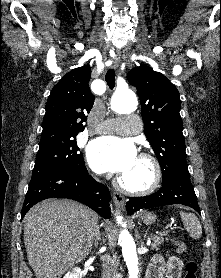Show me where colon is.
Instances as JSON below:
<instances>
[{"label": "colon", "instance_id": "obj_1", "mask_svg": "<svg viewBox=\"0 0 221 278\" xmlns=\"http://www.w3.org/2000/svg\"><path fill=\"white\" fill-rule=\"evenodd\" d=\"M173 245L178 253H184L186 250L185 243L180 239H174ZM198 266L195 261H188L185 266L184 278H197Z\"/></svg>", "mask_w": 221, "mask_h": 278}]
</instances>
